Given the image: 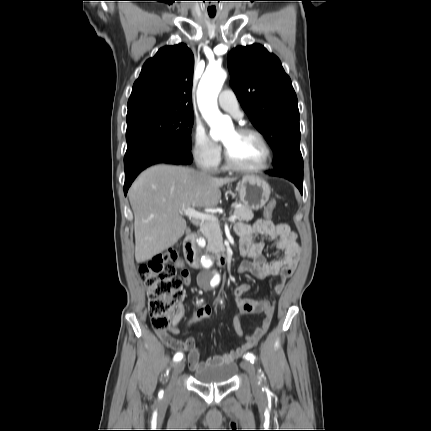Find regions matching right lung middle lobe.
<instances>
[{"label":"right lung middle lobe","mask_w":431,"mask_h":431,"mask_svg":"<svg viewBox=\"0 0 431 431\" xmlns=\"http://www.w3.org/2000/svg\"><path fill=\"white\" fill-rule=\"evenodd\" d=\"M193 113L151 112L127 118V146L148 137H161L191 149Z\"/></svg>","instance_id":"obj_1"}]
</instances>
